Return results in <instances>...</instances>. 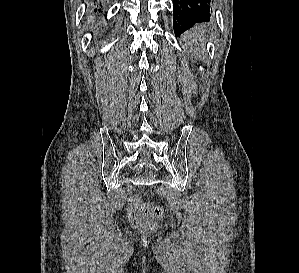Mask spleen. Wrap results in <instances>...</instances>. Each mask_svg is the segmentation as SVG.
<instances>
[{"instance_id": "obj_1", "label": "spleen", "mask_w": 299, "mask_h": 273, "mask_svg": "<svg viewBox=\"0 0 299 273\" xmlns=\"http://www.w3.org/2000/svg\"><path fill=\"white\" fill-rule=\"evenodd\" d=\"M205 29L194 28L184 35V41L186 42V50L191 57L203 58L206 52L205 46Z\"/></svg>"}]
</instances>
